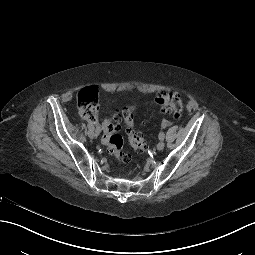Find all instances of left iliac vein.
I'll use <instances>...</instances> for the list:
<instances>
[{"instance_id":"left-iliac-vein-1","label":"left iliac vein","mask_w":255,"mask_h":255,"mask_svg":"<svg viewBox=\"0 0 255 255\" xmlns=\"http://www.w3.org/2000/svg\"><path fill=\"white\" fill-rule=\"evenodd\" d=\"M164 146H165V143L163 142V140H161V141L157 144L156 148H157L158 151H161V150L164 149Z\"/></svg>"}]
</instances>
